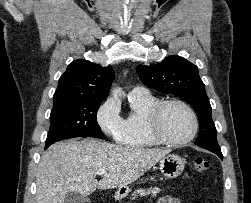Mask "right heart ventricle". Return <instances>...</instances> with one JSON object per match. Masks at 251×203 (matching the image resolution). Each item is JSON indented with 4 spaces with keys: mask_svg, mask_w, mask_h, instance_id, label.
<instances>
[{
    "mask_svg": "<svg viewBox=\"0 0 251 203\" xmlns=\"http://www.w3.org/2000/svg\"><path fill=\"white\" fill-rule=\"evenodd\" d=\"M132 112L123 120V127L115 137L124 147L145 149L158 145L148 134L146 116L149 109L158 102L152 95L145 97H129Z\"/></svg>",
    "mask_w": 251,
    "mask_h": 203,
    "instance_id": "right-heart-ventricle-1",
    "label": "right heart ventricle"
}]
</instances>
